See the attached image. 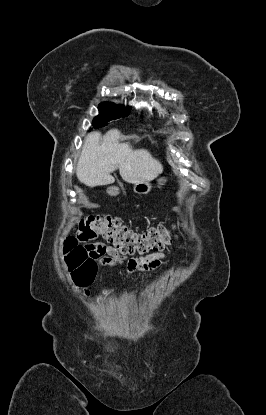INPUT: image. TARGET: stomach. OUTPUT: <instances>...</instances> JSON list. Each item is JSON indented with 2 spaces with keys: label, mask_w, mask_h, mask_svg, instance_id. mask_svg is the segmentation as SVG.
I'll return each mask as SVG.
<instances>
[{
  "label": "stomach",
  "mask_w": 266,
  "mask_h": 415,
  "mask_svg": "<svg viewBox=\"0 0 266 415\" xmlns=\"http://www.w3.org/2000/svg\"><path fill=\"white\" fill-rule=\"evenodd\" d=\"M168 182L167 177H160L157 179V184L159 187L165 186ZM152 185L149 182H142L134 184V192L138 195H147L150 193ZM107 193L110 196H117L119 194V189L117 187H109Z\"/></svg>",
  "instance_id": "obj_1"
}]
</instances>
